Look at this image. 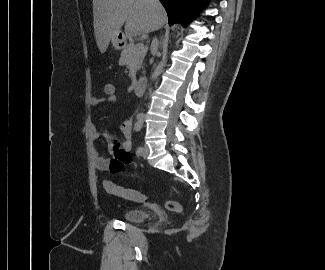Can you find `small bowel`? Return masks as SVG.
<instances>
[{
    "instance_id": "small-bowel-1",
    "label": "small bowel",
    "mask_w": 325,
    "mask_h": 270,
    "mask_svg": "<svg viewBox=\"0 0 325 270\" xmlns=\"http://www.w3.org/2000/svg\"><path fill=\"white\" fill-rule=\"evenodd\" d=\"M116 89V88H115ZM117 100L116 96H105L97 97L91 96L88 100L90 106H97L101 103L113 104ZM132 126L133 120L131 118L126 119L117 130L121 134L122 138L120 141L113 139V136L109 132H100L95 123L90 125V136L93 141L100 138H104L107 142L109 152L112 154L111 159L102 157L96 148L92 150L93 160L96 167L101 171H107L110 169L112 173L121 172L124 167L131 162L130 151L132 149Z\"/></svg>"
}]
</instances>
